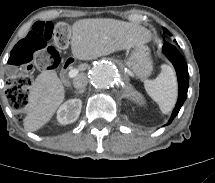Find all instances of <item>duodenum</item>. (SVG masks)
<instances>
[{"label":"duodenum","instance_id":"1","mask_svg":"<svg viewBox=\"0 0 215 183\" xmlns=\"http://www.w3.org/2000/svg\"><path fill=\"white\" fill-rule=\"evenodd\" d=\"M74 60L72 58H68L64 60L63 65H62V72H61V79L63 82L67 83V72L69 69L73 66Z\"/></svg>","mask_w":215,"mask_h":183}]
</instances>
